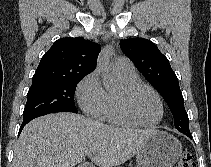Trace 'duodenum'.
Segmentation results:
<instances>
[{
  "label": "duodenum",
  "instance_id": "duodenum-1",
  "mask_svg": "<svg viewBox=\"0 0 211 167\" xmlns=\"http://www.w3.org/2000/svg\"><path fill=\"white\" fill-rule=\"evenodd\" d=\"M78 167H90V166H89V165L84 164V165H80V166H78Z\"/></svg>",
  "mask_w": 211,
  "mask_h": 167
}]
</instances>
